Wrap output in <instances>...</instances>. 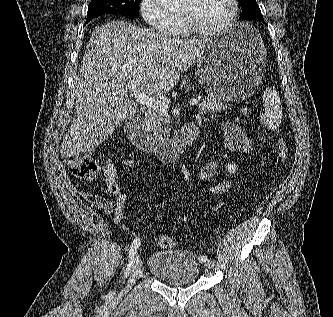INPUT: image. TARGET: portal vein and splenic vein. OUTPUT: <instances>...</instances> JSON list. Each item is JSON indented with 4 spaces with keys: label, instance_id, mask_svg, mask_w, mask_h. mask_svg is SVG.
Returning a JSON list of instances; mask_svg holds the SVG:
<instances>
[{
    "label": "portal vein and splenic vein",
    "instance_id": "1",
    "mask_svg": "<svg viewBox=\"0 0 333 317\" xmlns=\"http://www.w3.org/2000/svg\"><path fill=\"white\" fill-rule=\"evenodd\" d=\"M130 90L132 92V95L134 96L136 102L140 103L141 105L147 106L149 108H152L154 110H158L161 112L166 113L168 111V105L155 97L149 96L143 92H140L136 85H132L130 87ZM201 100V97L197 99L191 100L189 103L190 105H197L199 101Z\"/></svg>",
    "mask_w": 333,
    "mask_h": 317
}]
</instances>
